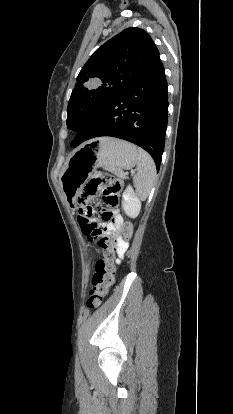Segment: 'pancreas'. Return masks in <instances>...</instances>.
I'll use <instances>...</instances> for the list:
<instances>
[{"label": "pancreas", "mask_w": 233, "mask_h": 414, "mask_svg": "<svg viewBox=\"0 0 233 414\" xmlns=\"http://www.w3.org/2000/svg\"><path fill=\"white\" fill-rule=\"evenodd\" d=\"M122 174H123V172H122V171H117V172H116V175H118V176H120V177H122V178H125V177H123V176H122Z\"/></svg>", "instance_id": "cf45deb5"}]
</instances>
